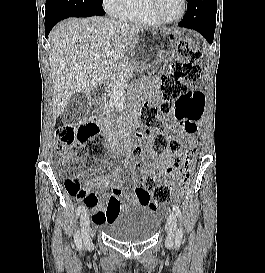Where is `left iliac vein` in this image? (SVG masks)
<instances>
[{
	"mask_svg": "<svg viewBox=\"0 0 265 273\" xmlns=\"http://www.w3.org/2000/svg\"><path fill=\"white\" fill-rule=\"evenodd\" d=\"M167 225H168V234H167L165 244L168 248H172L175 242L176 232H177V219L173 213H171L168 216Z\"/></svg>",
	"mask_w": 265,
	"mask_h": 273,
	"instance_id": "left-iliac-vein-1",
	"label": "left iliac vein"
}]
</instances>
